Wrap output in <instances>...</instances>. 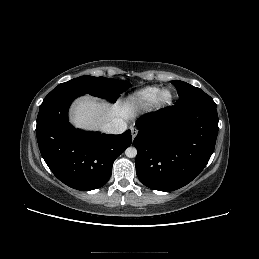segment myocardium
I'll return each mask as SVG.
<instances>
[{"label":"myocardium","mask_w":259,"mask_h":259,"mask_svg":"<svg viewBox=\"0 0 259 259\" xmlns=\"http://www.w3.org/2000/svg\"><path fill=\"white\" fill-rule=\"evenodd\" d=\"M173 101V93L168 88L161 89L155 99L154 104L158 108H164L169 106Z\"/></svg>","instance_id":"1"}]
</instances>
